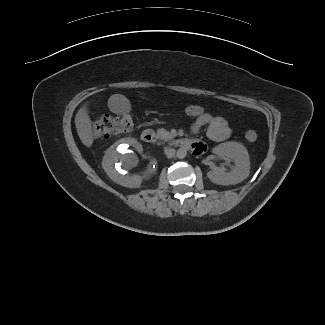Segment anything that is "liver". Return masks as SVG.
Here are the masks:
<instances>
[{"label":"liver","instance_id":"obj_1","mask_svg":"<svg viewBox=\"0 0 325 325\" xmlns=\"http://www.w3.org/2000/svg\"><path fill=\"white\" fill-rule=\"evenodd\" d=\"M88 104L89 102L85 103L78 110L75 116V126L81 142L86 147H91L94 142V134L92 130V121L89 116ZM119 105H123V108H130V102L124 95H112L108 100L109 109L113 112V109Z\"/></svg>","mask_w":325,"mask_h":325}]
</instances>
